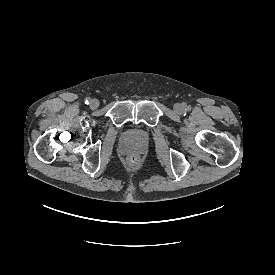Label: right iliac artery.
Instances as JSON below:
<instances>
[{"mask_svg": "<svg viewBox=\"0 0 275 275\" xmlns=\"http://www.w3.org/2000/svg\"><path fill=\"white\" fill-rule=\"evenodd\" d=\"M89 103H90V99L87 98V99L85 100V104H89Z\"/></svg>", "mask_w": 275, "mask_h": 275, "instance_id": "right-iliac-artery-1", "label": "right iliac artery"}]
</instances>
